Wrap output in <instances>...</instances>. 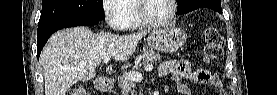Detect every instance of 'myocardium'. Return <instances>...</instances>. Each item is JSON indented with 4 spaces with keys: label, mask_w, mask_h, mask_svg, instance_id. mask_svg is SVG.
<instances>
[{
    "label": "myocardium",
    "mask_w": 277,
    "mask_h": 95,
    "mask_svg": "<svg viewBox=\"0 0 277 95\" xmlns=\"http://www.w3.org/2000/svg\"><path fill=\"white\" fill-rule=\"evenodd\" d=\"M145 1H147V0H137V2H136V12H137L139 19L143 22V24H145L146 26H149V27H161V26H166L173 21L175 15H176V12H177V1L176 0H169V2L171 4V12H170L169 17H167L164 20H155V19H151V18L147 17L143 11Z\"/></svg>",
    "instance_id": "1"
}]
</instances>
